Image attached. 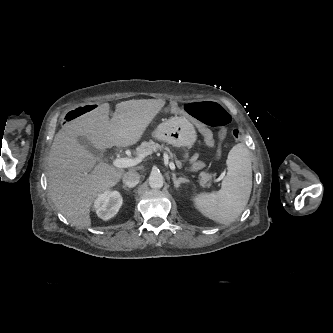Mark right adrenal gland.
<instances>
[{
  "label": "right adrenal gland",
  "instance_id": "obj_1",
  "mask_svg": "<svg viewBox=\"0 0 333 333\" xmlns=\"http://www.w3.org/2000/svg\"><path fill=\"white\" fill-rule=\"evenodd\" d=\"M122 188H123L125 191H127V192H129V191H130V189H129V188H127L126 186H122Z\"/></svg>",
  "mask_w": 333,
  "mask_h": 333
}]
</instances>
